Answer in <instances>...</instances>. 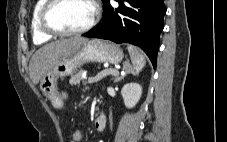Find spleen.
<instances>
[{
  "instance_id": "obj_1",
  "label": "spleen",
  "mask_w": 227,
  "mask_h": 142,
  "mask_svg": "<svg viewBox=\"0 0 227 142\" xmlns=\"http://www.w3.org/2000/svg\"><path fill=\"white\" fill-rule=\"evenodd\" d=\"M127 49L130 54L133 71L138 74L146 64L144 54L132 45H128Z\"/></svg>"
}]
</instances>
